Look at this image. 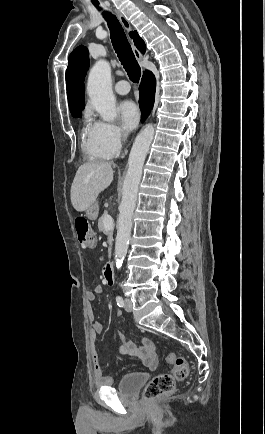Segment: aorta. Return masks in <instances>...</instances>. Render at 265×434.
Listing matches in <instances>:
<instances>
[{
    "label": "aorta",
    "mask_w": 265,
    "mask_h": 434,
    "mask_svg": "<svg viewBox=\"0 0 265 434\" xmlns=\"http://www.w3.org/2000/svg\"><path fill=\"white\" fill-rule=\"evenodd\" d=\"M87 94L96 112L105 122L116 120V100L112 92L111 66L106 60H99L91 68L87 82ZM154 132V126L146 124L145 128L136 136L129 154L128 172L122 188V202L118 208L119 218L115 242V264L118 270L127 254L138 186L145 158L153 142Z\"/></svg>",
    "instance_id": "obj_1"
}]
</instances>
